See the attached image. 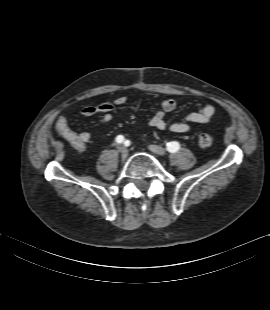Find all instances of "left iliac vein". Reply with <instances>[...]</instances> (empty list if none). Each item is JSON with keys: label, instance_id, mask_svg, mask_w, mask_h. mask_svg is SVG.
<instances>
[{"label": "left iliac vein", "instance_id": "4c4485c4", "mask_svg": "<svg viewBox=\"0 0 270 310\" xmlns=\"http://www.w3.org/2000/svg\"><path fill=\"white\" fill-rule=\"evenodd\" d=\"M149 149L155 153V154H158L160 156H163L165 155V149L161 146H158V145H149Z\"/></svg>", "mask_w": 270, "mask_h": 310}]
</instances>
